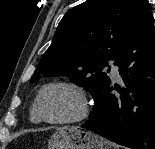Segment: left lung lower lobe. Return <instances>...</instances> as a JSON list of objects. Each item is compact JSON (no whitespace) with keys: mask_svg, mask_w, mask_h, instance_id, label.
<instances>
[{"mask_svg":"<svg viewBox=\"0 0 155 149\" xmlns=\"http://www.w3.org/2000/svg\"><path fill=\"white\" fill-rule=\"evenodd\" d=\"M149 14L114 60L124 86L110 83L95 97L81 127L132 149H155V27Z\"/></svg>","mask_w":155,"mask_h":149,"instance_id":"obj_1","label":"left lung lower lobe"}]
</instances>
